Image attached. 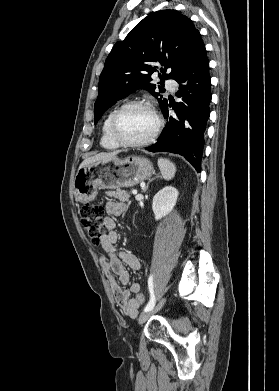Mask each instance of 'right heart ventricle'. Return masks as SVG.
Here are the masks:
<instances>
[{"mask_svg": "<svg viewBox=\"0 0 279 391\" xmlns=\"http://www.w3.org/2000/svg\"><path fill=\"white\" fill-rule=\"evenodd\" d=\"M115 109L111 110L105 117L101 127L100 145L106 150H115L120 147L110 136L109 126L110 120Z\"/></svg>", "mask_w": 279, "mask_h": 391, "instance_id": "e07e8e85", "label": "right heart ventricle"}]
</instances>
